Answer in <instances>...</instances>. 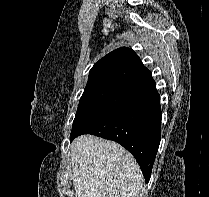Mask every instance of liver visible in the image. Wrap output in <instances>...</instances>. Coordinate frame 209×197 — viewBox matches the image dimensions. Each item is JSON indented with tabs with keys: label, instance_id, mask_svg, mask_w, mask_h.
I'll use <instances>...</instances> for the list:
<instances>
[{
	"label": "liver",
	"instance_id": "obj_1",
	"mask_svg": "<svg viewBox=\"0 0 209 197\" xmlns=\"http://www.w3.org/2000/svg\"><path fill=\"white\" fill-rule=\"evenodd\" d=\"M70 150L75 197H140L144 183L140 167L118 143L83 135Z\"/></svg>",
	"mask_w": 209,
	"mask_h": 197
}]
</instances>
